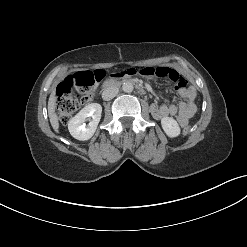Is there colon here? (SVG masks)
<instances>
[{
	"label": "colon",
	"instance_id": "colon-1",
	"mask_svg": "<svg viewBox=\"0 0 247 247\" xmlns=\"http://www.w3.org/2000/svg\"><path fill=\"white\" fill-rule=\"evenodd\" d=\"M105 76V72H78L67 76L56 91V112L62 124H67L77 109L88 103L94 96L96 85ZM184 134L191 131L189 125H184Z\"/></svg>",
	"mask_w": 247,
	"mask_h": 247
}]
</instances>
